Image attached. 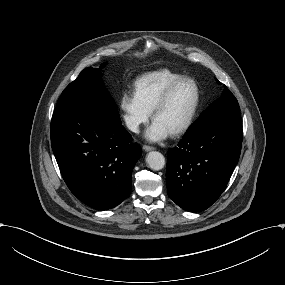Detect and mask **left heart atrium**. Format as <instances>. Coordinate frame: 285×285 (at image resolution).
I'll list each match as a JSON object with an SVG mask.
<instances>
[{
	"label": "left heart atrium",
	"mask_w": 285,
	"mask_h": 285,
	"mask_svg": "<svg viewBox=\"0 0 285 285\" xmlns=\"http://www.w3.org/2000/svg\"><path fill=\"white\" fill-rule=\"evenodd\" d=\"M169 134L170 131L162 123L154 119L146 131V138L157 142L166 139Z\"/></svg>",
	"instance_id": "left-heart-atrium-1"
}]
</instances>
